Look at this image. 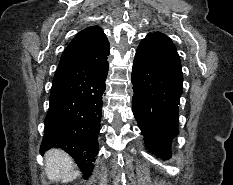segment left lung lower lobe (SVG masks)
I'll return each instance as SVG.
<instances>
[{"label":"left lung lower lobe","mask_w":233,"mask_h":185,"mask_svg":"<svg viewBox=\"0 0 233 185\" xmlns=\"http://www.w3.org/2000/svg\"><path fill=\"white\" fill-rule=\"evenodd\" d=\"M131 81L133 114L145 144L157 156L168 159L172 139L178 135V105L183 89L178 53L155 38H144L135 55Z\"/></svg>","instance_id":"1"}]
</instances>
